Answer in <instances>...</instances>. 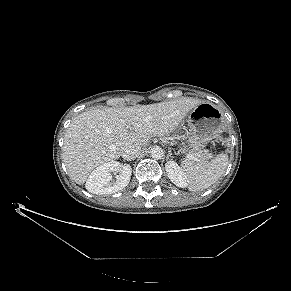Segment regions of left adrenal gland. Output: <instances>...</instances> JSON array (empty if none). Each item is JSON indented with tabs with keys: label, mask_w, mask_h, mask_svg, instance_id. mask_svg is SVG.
<instances>
[{
	"label": "left adrenal gland",
	"mask_w": 291,
	"mask_h": 291,
	"mask_svg": "<svg viewBox=\"0 0 291 291\" xmlns=\"http://www.w3.org/2000/svg\"><path fill=\"white\" fill-rule=\"evenodd\" d=\"M169 157L173 158V156H172V152H171V149H170V148L168 149L167 159H168Z\"/></svg>",
	"instance_id": "a2214340"
}]
</instances>
